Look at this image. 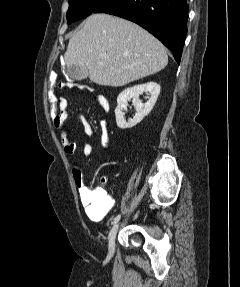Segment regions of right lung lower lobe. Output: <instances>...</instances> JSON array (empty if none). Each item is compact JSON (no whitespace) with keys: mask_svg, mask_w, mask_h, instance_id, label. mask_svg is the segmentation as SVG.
I'll return each mask as SVG.
<instances>
[{"mask_svg":"<svg viewBox=\"0 0 240 287\" xmlns=\"http://www.w3.org/2000/svg\"><path fill=\"white\" fill-rule=\"evenodd\" d=\"M188 8L186 0H107L94 13H107L137 23L169 48L180 63Z\"/></svg>","mask_w":240,"mask_h":287,"instance_id":"1","label":"right lung lower lobe"}]
</instances>
